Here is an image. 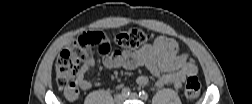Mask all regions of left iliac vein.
<instances>
[{"instance_id":"left-iliac-vein-1","label":"left iliac vein","mask_w":252,"mask_h":104,"mask_svg":"<svg viewBox=\"0 0 252 104\" xmlns=\"http://www.w3.org/2000/svg\"><path fill=\"white\" fill-rule=\"evenodd\" d=\"M138 97L137 93H132L128 98L137 99Z\"/></svg>"}]
</instances>
